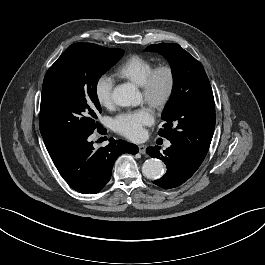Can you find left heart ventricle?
Returning a JSON list of instances; mask_svg holds the SVG:
<instances>
[{
	"label": "left heart ventricle",
	"instance_id": "1",
	"mask_svg": "<svg viewBox=\"0 0 265 265\" xmlns=\"http://www.w3.org/2000/svg\"><path fill=\"white\" fill-rule=\"evenodd\" d=\"M166 84V78L165 76H161L160 80H159V86L160 88H163Z\"/></svg>",
	"mask_w": 265,
	"mask_h": 265
}]
</instances>
